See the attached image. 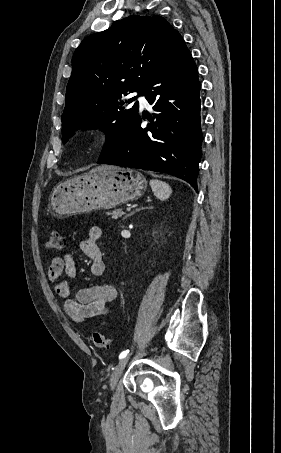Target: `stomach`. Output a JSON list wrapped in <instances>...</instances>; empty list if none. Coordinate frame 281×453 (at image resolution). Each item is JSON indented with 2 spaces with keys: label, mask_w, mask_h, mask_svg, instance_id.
I'll return each instance as SVG.
<instances>
[{
  "label": "stomach",
  "mask_w": 281,
  "mask_h": 453,
  "mask_svg": "<svg viewBox=\"0 0 281 453\" xmlns=\"http://www.w3.org/2000/svg\"><path fill=\"white\" fill-rule=\"evenodd\" d=\"M146 186V178L141 172L107 166L104 170L85 172L59 182L50 194V206L58 216L112 208L122 202L136 200L144 194Z\"/></svg>",
  "instance_id": "1"
}]
</instances>
